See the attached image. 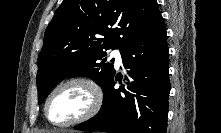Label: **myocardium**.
Returning a JSON list of instances; mask_svg holds the SVG:
<instances>
[{"label":"myocardium","mask_w":221,"mask_h":133,"mask_svg":"<svg viewBox=\"0 0 221 133\" xmlns=\"http://www.w3.org/2000/svg\"><path fill=\"white\" fill-rule=\"evenodd\" d=\"M71 85H79L84 87L90 97V103L87 107V109L81 113L80 115H78L77 117L66 121V122H53L48 115V106L49 103L51 101V99L53 98V96L60 91L61 89L71 86ZM103 103V91L100 87V85L93 79L88 78V77H84V76H75V77H70L68 79H65L63 81H61L60 83H58L56 86H54L52 88V90L48 93L45 102H44V106H43V112H44V116L46 118V120L53 126L56 127H70L73 125H77L80 123H83L85 121L90 120L91 118H93L101 109Z\"/></svg>","instance_id":"myocardium-1"}]
</instances>
